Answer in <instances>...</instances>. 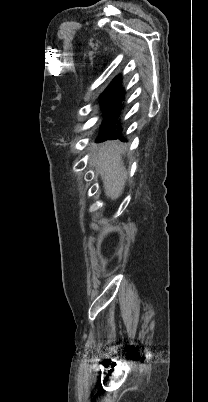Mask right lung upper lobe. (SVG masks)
Segmentation results:
<instances>
[{
	"label": "right lung upper lobe",
	"mask_w": 208,
	"mask_h": 402,
	"mask_svg": "<svg viewBox=\"0 0 208 402\" xmlns=\"http://www.w3.org/2000/svg\"><path fill=\"white\" fill-rule=\"evenodd\" d=\"M113 82H114V81H113ZM113 82H112V83H113ZM112 83L107 87V89L112 90V88H111V87H112Z\"/></svg>",
	"instance_id": "cb5924a9"
}]
</instances>
